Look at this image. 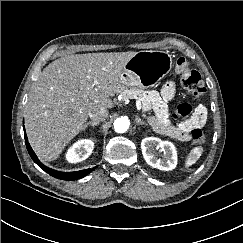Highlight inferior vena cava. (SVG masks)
I'll list each match as a JSON object with an SVG mask.
<instances>
[{
    "label": "inferior vena cava",
    "mask_w": 243,
    "mask_h": 243,
    "mask_svg": "<svg viewBox=\"0 0 243 243\" xmlns=\"http://www.w3.org/2000/svg\"><path fill=\"white\" fill-rule=\"evenodd\" d=\"M89 117L96 122L104 121L108 117V110L104 107L95 108L89 112Z\"/></svg>",
    "instance_id": "inferior-vena-cava-1"
}]
</instances>
